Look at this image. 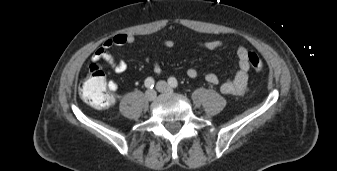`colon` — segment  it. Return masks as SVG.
Segmentation results:
<instances>
[{
    "label": "colon",
    "instance_id": "1",
    "mask_svg": "<svg viewBox=\"0 0 337 171\" xmlns=\"http://www.w3.org/2000/svg\"><path fill=\"white\" fill-rule=\"evenodd\" d=\"M248 60L253 71L262 70L263 62L255 52L249 53ZM80 96L96 109H105L113 104V93L109 90L105 75L97 63L89 66V76L80 87Z\"/></svg>",
    "mask_w": 337,
    "mask_h": 171
}]
</instances>
